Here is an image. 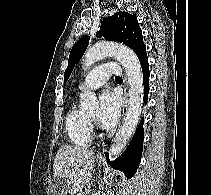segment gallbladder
I'll use <instances>...</instances> for the list:
<instances>
[{
    "instance_id": "bac80fb5",
    "label": "gallbladder",
    "mask_w": 211,
    "mask_h": 195,
    "mask_svg": "<svg viewBox=\"0 0 211 195\" xmlns=\"http://www.w3.org/2000/svg\"><path fill=\"white\" fill-rule=\"evenodd\" d=\"M51 189H52V192H54V194H56V192H57V187H56L54 184L52 185V188H51Z\"/></svg>"
}]
</instances>
